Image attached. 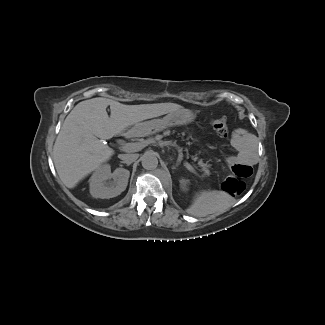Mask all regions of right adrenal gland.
Listing matches in <instances>:
<instances>
[{"mask_svg":"<svg viewBox=\"0 0 325 325\" xmlns=\"http://www.w3.org/2000/svg\"><path fill=\"white\" fill-rule=\"evenodd\" d=\"M120 163H121L120 166H122V164H126L127 166L130 165V163H125V162H123V161H121Z\"/></svg>","mask_w":325,"mask_h":325,"instance_id":"2a0ac1e0","label":"right adrenal gland"}]
</instances>
